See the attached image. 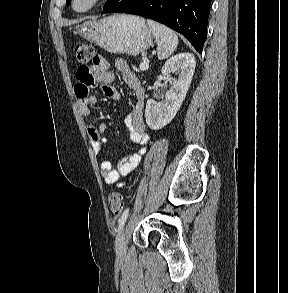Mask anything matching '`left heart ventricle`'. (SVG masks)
I'll use <instances>...</instances> for the list:
<instances>
[{"mask_svg": "<svg viewBox=\"0 0 288 293\" xmlns=\"http://www.w3.org/2000/svg\"><path fill=\"white\" fill-rule=\"evenodd\" d=\"M87 2H88V0H78V6H79V7H82V6H84Z\"/></svg>", "mask_w": 288, "mask_h": 293, "instance_id": "b2bd125f", "label": "left heart ventricle"}]
</instances>
